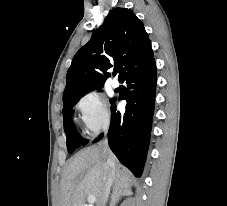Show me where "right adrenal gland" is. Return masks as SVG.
<instances>
[{
  "label": "right adrenal gland",
  "mask_w": 227,
  "mask_h": 206,
  "mask_svg": "<svg viewBox=\"0 0 227 206\" xmlns=\"http://www.w3.org/2000/svg\"><path fill=\"white\" fill-rule=\"evenodd\" d=\"M116 197H117V193L114 191L112 196H111V202L109 206H115L116 203Z\"/></svg>",
  "instance_id": "obj_1"
}]
</instances>
